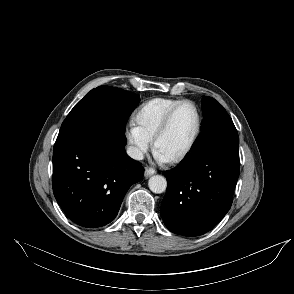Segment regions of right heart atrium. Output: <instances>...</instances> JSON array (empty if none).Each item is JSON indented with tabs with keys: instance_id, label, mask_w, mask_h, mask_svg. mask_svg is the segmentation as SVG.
I'll return each mask as SVG.
<instances>
[{
	"instance_id": "obj_1",
	"label": "right heart atrium",
	"mask_w": 294,
	"mask_h": 294,
	"mask_svg": "<svg viewBox=\"0 0 294 294\" xmlns=\"http://www.w3.org/2000/svg\"><path fill=\"white\" fill-rule=\"evenodd\" d=\"M124 133L131 155L135 159H141L150 149L151 139L134 122H129L126 125Z\"/></svg>"
}]
</instances>
